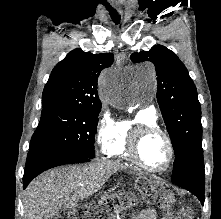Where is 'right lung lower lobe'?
Segmentation results:
<instances>
[{
	"label": "right lung lower lobe",
	"mask_w": 221,
	"mask_h": 219,
	"mask_svg": "<svg viewBox=\"0 0 221 219\" xmlns=\"http://www.w3.org/2000/svg\"><path fill=\"white\" fill-rule=\"evenodd\" d=\"M90 160V158L71 155L48 146L37 145L29 149L27 155L23 188L25 189L34 177L47 169L64 164L88 162Z\"/></svg>",
	"instance_id": "obj_1"
}]
</instances>
